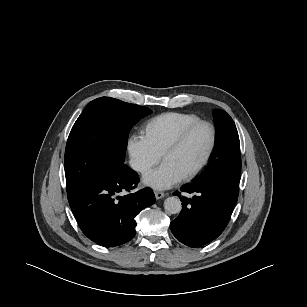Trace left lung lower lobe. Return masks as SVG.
Instances as JSON below:
<instances>
[{"label": "left lung lower lobe", "instance_id": "obj_1", "mask_svg": "<svg viewBox=\"0 0 307 307\" xmlns=\"http://www.w3.org/2000/svg\"><path fill=\"white\" fill-rule=\"evenodd\" d=\"M182 192L196 193L192 199L181 196L183 208L171 222L177 240L190 247L203 246L217 238L225 229L238 194L217 181L193 182ZM174 195L180 196L179 192Z\"/></svg>", "mask_w": 307, "mask_h": 307}]
</instances>
